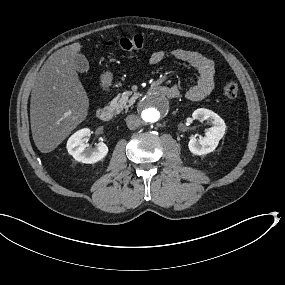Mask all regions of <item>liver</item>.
Returning a JSON list of instances; mask_svg holds the SVG:
<instances>
[{"mask_svg": "<svg viewBox=\"0 0 285 285\" xmlns=\"http://www.w3.org/2000/svg\"><path fill=\"white\" fill-rule=\"evenodd\" d=\"M81 52L75 42L44 63L31 94V132L39 152L54 151L88 116L90 101L74 65Z\"/></svg>", "mask_w": 285, "mask_h": 285, "instance_id": "liver-1", "label": "liver"}]
</instances>
